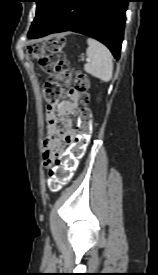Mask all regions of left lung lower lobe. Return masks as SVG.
<instances>
[{"label": "left lung lower lobe", "mask_w": 158, "mask_h": 275, "mask_svg": "<svg viewBox=\"0 0 158 275\" xmlns=\"http://www.w3.org/2000/svg\"><path fill=\"white\" fill-rule=\"evenodd\" d=\"M129 0H61L48 21L35 34V39L51 33L73 31L106 45L119 59Z\"/></svg>", "instance_id": "1"}]
</instances>
